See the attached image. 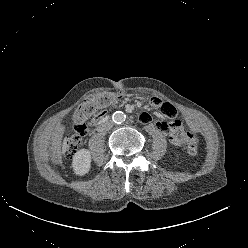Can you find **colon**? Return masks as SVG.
<instances>
[{
	"label": "colon",
	"mask_w": 248,
	"mask_h": 248,
	"mask_svg": "<svg viewBox=\"0 0 248 248\" xmlns=\"http://www.w3.org/2000/svg\"><path fill=\"white\" fill-rule=\"evenodd\" d=\"M115 101V95L111 93L100 94L84 103L76 110L74 115L73 129L75 134L68 137L64 143V154L66 157H72L81 145L82 138L88 133L86 120L91 116L100 113ZM189 155L195 156L199 152L198 140L191 141L187 148Z\"/></svg>",
	"instance_id": "1"
}]
</instances>
